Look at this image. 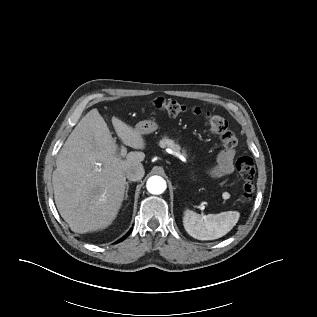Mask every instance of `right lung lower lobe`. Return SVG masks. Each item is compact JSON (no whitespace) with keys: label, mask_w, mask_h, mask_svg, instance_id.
<instances>
[{"label":"right lung lower lobe","mask_w":317,"mask_h":317,"mask_svg":"<svg viewBox=\"0 0 317 317\" xmlns=\"http://www.w3.org/2000/svg\"><path fill=\"white\" fill-rule=\"evenodd\" d=\"M132 229L121 239H119L116 243L123 241L130 233H131Z\"/></svg>","instance_id":"right-lung-lower-lobe-1"}]
</instances>
